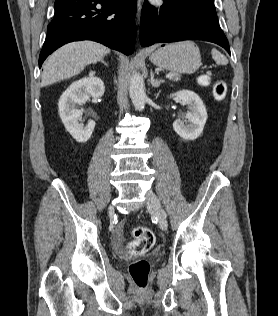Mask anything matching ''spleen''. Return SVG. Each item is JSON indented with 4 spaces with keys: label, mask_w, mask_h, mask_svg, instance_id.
Masks as SVG:
<instances>
[{
    "label": "spleen",
    "mask_w": 278,
    "mask_h": 316,
    "mask_svg": "<svg viewBox=\"0 0 278 316\" xmlns=\"http://www.w3.org/2000/svg\"><path fill=\"white\" fill-rule=\"evenodd\" d=\"M211 54H212V58L217 64L226 65L228 63L227 58L222 53H220L217 49H212Z\"/></svg>",
    "instance_id": "spleen-1"
}]
</instances>
